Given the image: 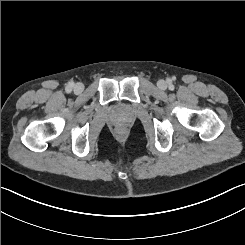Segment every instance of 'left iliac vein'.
Wrapping results in <instances>:
<instances>
[{"mask_svg": "<svg viewBox=\"0 0 245 245\" xmlns=\"http://www.w3.org/2000/svg\"><path fill=\"white\" fill-rule=\"evenodd\" d=\"M158 88L165 89L166 88V82L164 80H160L158 82Z\"/></svg>", "mask_w": 245, "mask_h": 245, "instance_id": "left-iliac-vein-1", "label": "left iliac vein"}]
</instances>
